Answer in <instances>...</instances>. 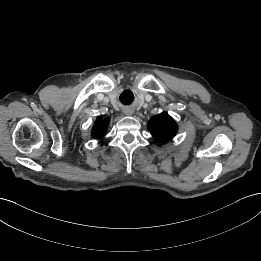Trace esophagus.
Wrapping results in <instances>:
<instances>
[{
  "label": "esophagus",
  "instance_id": "obj_1",
  "mask_svg": "<svg viewBox=\"0 0 261 261\" xmlns=\"http://www.w3.org/2000/svg\"><path fill=\"white\" fill-rule=\"evenodd\" d=\"M125 113H126V115H132L131 111H126Z\"/></svg>",
  "mask_w": 261,
  "mask_h": 261
}]
</instances>
